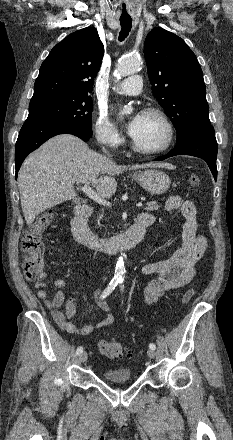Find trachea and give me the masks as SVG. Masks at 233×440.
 Masks as SVG:
<instances>
[{
  "label": "trachea",
  "mask_w": 233,
  "mask_h": 440,
  "mask_svg": "<svg viewBox=\"0 0 233 440\" xmlns=\"http://www.w3.org/2000/svg\"><path fill=\"white\" fill-rule=\"evenodd\" d=\"M120 24H121V31L119 34V41H123L129 35V32L131 31L132 19H130V18L120 19Z\"/></svg>",
  "instance_id": "obj_1"
}]
</instances>
